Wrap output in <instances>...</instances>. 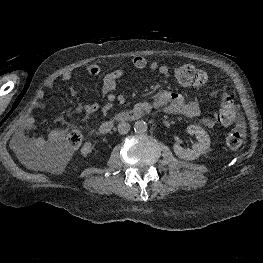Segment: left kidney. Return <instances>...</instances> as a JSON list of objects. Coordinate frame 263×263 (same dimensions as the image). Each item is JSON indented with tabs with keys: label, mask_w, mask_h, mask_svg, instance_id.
I'll use <instances>...</instances> for the list:
<instances>
[{
	"label": "left kidney",
	"mask_w": 263,
	"mask_h": 263,
	"mask_svg": "<svg viewBox=\"0 0 263 263\" xmlns=\"http://www.w3.org/2000/svg\"><path fill=\"white\" fill-rule=\"evenodd\" d=\"M187 133L195 135L198 139V142L193 145L192 149H184L179 143H175L173 149L180 159L194 160L209 149L210 137L199 125H189L187 127Z\"/></svg>",
	"instance_id": "left-kidney-1"
}]
</instances>
